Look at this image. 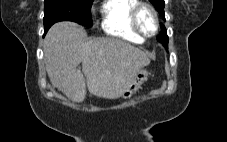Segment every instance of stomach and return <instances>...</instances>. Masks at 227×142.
Segmentation results:
<instances>
[{"instance_id":"stomach-1","label":"stomach","mask_w":227,"mask_h":142,"mask_svg":"<svg viewBox=\"0 0 227 142\" xmlns=\"http://www.w3.org/2000/svg\"><path fill=\"white\" fill-rule=\"evenodd\" d=\"M148 71L145 69H141L136 76L134 77L132 83L129 85L127 90L123 93V98L131 97L140 87L141 85L147 81L148 79Z\"/></svg>"}]
</instances>
